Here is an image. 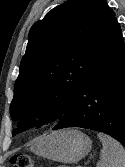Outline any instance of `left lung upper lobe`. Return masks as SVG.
Masks as SVG:
<instances>
[{"label": "left lung upper lobe", "mask_w": 125, "mask_h": 167, "mask_svg": "<svg viewBox=\"0 0 125 167\" xmlns=\"http://www.w3.org/2000/svg\"><path fill=\"white\" fill-rule=\"evenodd\" d=\"M115 20L106 0H68L30 29L10 105L20 132L55 121L86 77L98 47Z\"/></svg>", "instance_id": "5c2ea615"}]
</instances>
